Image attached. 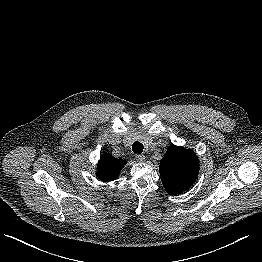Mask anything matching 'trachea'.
I'll return each mask as SVG.
<instances>
[{
  "label": "trachea",
  "mask_w": 262,
  "mask_h": 262,
  "mask_svg": "<svg viewBox=\"0 0 262 262\" xmlns=\"http://www.w3.org/2000/svg\"><path fill=\"white\" fill-rule=\"evenodd\" d=\"M132 150H133L134 153H138V154L142 153L143 152V144L138 142V141L134 142L133 145H132Z\"/></svg>",
  "instance_id": "trachea-1"
}]
</instances>
